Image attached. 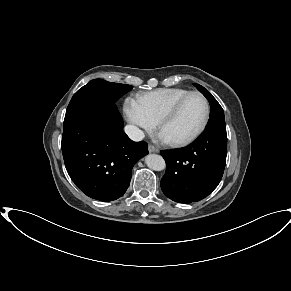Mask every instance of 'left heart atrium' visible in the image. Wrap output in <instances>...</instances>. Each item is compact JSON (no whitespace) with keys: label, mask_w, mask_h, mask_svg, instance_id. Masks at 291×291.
I'll return each mask as SVG.
<instances>
[{"label":"left heart atrium","mask_w":291,"mask_h":291,"mask_svg":"<svg viewBox=\"0 0 291 291\" xmlns=\"http://www.w3.org/2000/svg\"><path fill=\"white\" fill-rule=\"evenodd\" d=\"M159 137H160L161 140H163V141H167V139H166L162 134H160Z\"/></svg>","instance_id":"left-heart-atrium-1"}]
</instances>
